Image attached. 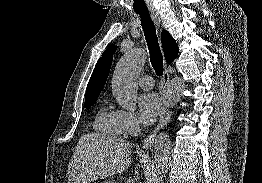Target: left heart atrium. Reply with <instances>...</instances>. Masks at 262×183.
I'll return each instance as SVG.
<instances>
[{"label": "left heart atrium", "instance_id": "obj_1", "mask_svg": "<svg viewBox=\"0 0 262 183\" xmlns=\"http://www.w3.org/2000/svg\"><path fill=\"white\" fill-rule=\"evenodd\" d=\"M140 119L144 124H152L160 113V101L155 93H145L138 99Z\"/></svg>", "mask_w": 262, "mask_h": 183}]
</instances>
